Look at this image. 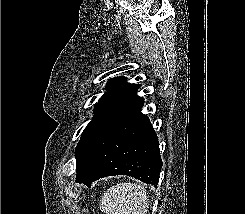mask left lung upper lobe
Wrapping results in <instances>:
<instances>
[{"mask_svg":"<svg viewBox=\"0 0 245 214\" xmlns=\"http://www.w3.org/2000/svg\"><path fill=\"white\" fill-rule=\"evenodd\" d=\"M126 80L123 76L109 79L106 87L108 90L96 104L94 117L84 129L76 146V160L108 126L143 101L136 94L140 85L130 84Z\"/></svg>","mask_w":245,"mask_h":214,"instance_id":"left-lung-upper-lobe-1","label":"left lung upper lobe"}]
</instances>
